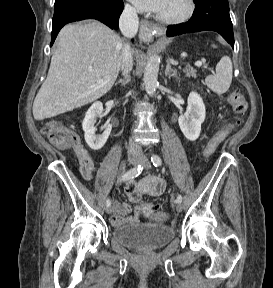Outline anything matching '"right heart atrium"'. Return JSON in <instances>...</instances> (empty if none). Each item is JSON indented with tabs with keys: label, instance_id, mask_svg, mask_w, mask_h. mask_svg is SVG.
Here are the masks:
<instances>
[{
	"label": "right heart atrium",
	"instance_id": "obj_1",
	"mask_svg": "<svg viewBox=\"0 0 273 288\" xmlns=\"http://www.w3.org/2000/svg\"><path fill=\"white\" fill-rule=\"evenodd\" d=\"M125 11L130 15L136 14V10L132 6H130L129 4H126Z\"/></svg>",
	"mask_w": 273,
	"mask_h": 288
}]
</instances>
